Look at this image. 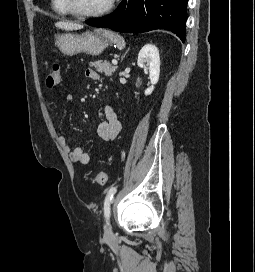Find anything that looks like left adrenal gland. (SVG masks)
Returning <instances> with one entry per match:
<instances>
[{
	"label": "left adrenal gland",
	"mask_w": 255,
	"mask_h": 272,
	"mask_svg": "<svg viewBox=\"0 0 255 272\" xmlns=\"http://www.w3.org/2000/svg\"><path fill=\"white\" fill-rule=\"evenodd\" d=\"M128 52V50L125 52V54L122 56V60L124 59V57H125V55H126V53Z\"/></svg>",
	"instance_id": "left-adrenal-gland-1"
}]
</instances>
